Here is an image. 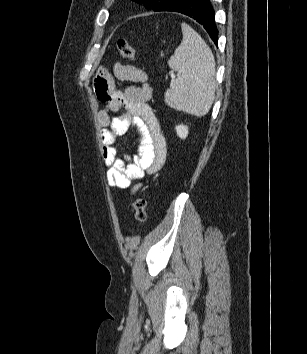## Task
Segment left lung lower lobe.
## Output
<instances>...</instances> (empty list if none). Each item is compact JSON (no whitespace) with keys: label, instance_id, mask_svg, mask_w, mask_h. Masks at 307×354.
Here are the masks:
<instances>
[{"label":"left lung lower lobe","instance_id":"1","mask_svg":"<svg viewBox=\"0 0 307 354\" xmlns=\"http://www.w3.org/2000/svg\"><path fill=\"white\" fill-rule=\"evenodd\" d=\"M158 11L179 12L193 18L203 26L210 38L217 44L218 29L210 0H169Z\"/></svg>","mask_w":307,"mask_h":354}]
</instances>
